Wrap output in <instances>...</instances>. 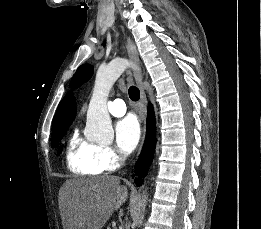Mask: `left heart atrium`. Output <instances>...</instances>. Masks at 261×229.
<instances>
[{
    "instance_id": "39dd6f15",
    "label": "left heart atrium",
    "mask_w": 261,
    "mask_h": 229,
    "mask_svg": "<svg viewBox=\"0 0 261 229\" xmlns=\"http://www.w3.org/2000/svg\"><path fill=\"white\" fill-rule=\"evenodd\" d=\"M116 143L125 154L132 152L141 137V127L138 120L128 116L120 120L115 126Z\"/></svg>"
}]
</instances>
